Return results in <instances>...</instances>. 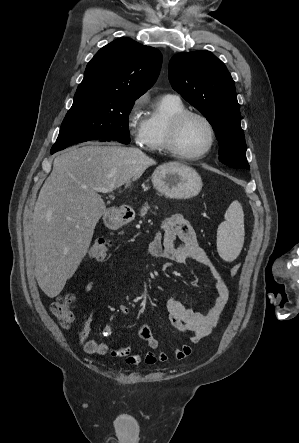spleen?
<instances>
[{"instance_id":"obj_1","label":"spleen","mask_w":299,"mask_h":443,"mask_svg":"<svg viewBox=\"0 0 299 443\" xmlns=\"http://www.w3.org/2000/svg\"><path fill=\"white\" fill-rule=\"evenodd\" d=\"M225 221L217 230V250L220 257L228 262L235 260L244 243V214L241 204L234 201L225 213Z\"/></svg>"}]
</instances>
